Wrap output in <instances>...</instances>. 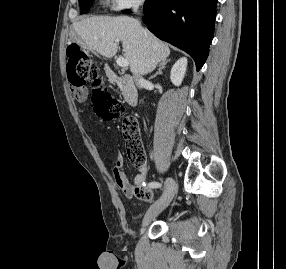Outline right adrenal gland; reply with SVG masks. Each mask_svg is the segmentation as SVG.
<instances>
[{"instance_id": "2a0ac1e0", "label": "right adrenal gland", "mask_w": 286, "mask_h": 269, "mask_svg": "<svg viewBox=\"0 0 286 269\" xmlns=\"http://www.w3.org/2000/svg\"><path fill=\"white\" fill-rule=\"evenodd\" d=\"M169 61H170V59L161 61L160 64H159L158 70L156 71V73H155L153 76L150 77V79L153 78V77H156V76L159 75V74H161V73H162V70L165 69L166 64H167Z\"/></svg>"}]
</instances>
